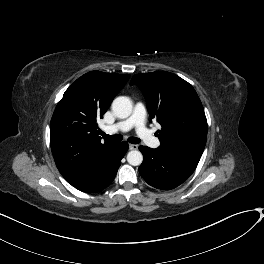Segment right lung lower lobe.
Returning a JSON list of instances; mask_svg holds the SVG:
<instances>
[{"mask_svg": "<svg viewBox=\"0 0 264 264\" xmlns=\"http://www.w3.org/2000/svg\"><path fill=\"white\" fill-rule=\"evenodd\" d=\"M127 150L128 144L126 142H118L115 145L114 152L110 159L97 174L84 181L72 184V186L82 192L88 193H95L105 189L115 178L121 164V159L124 157Z\"/></svg>", "mask_w": 264, "mask_h": 264, "instance_id": "98d812e1", "label": "right lung lower lobe"}]
</instances>
